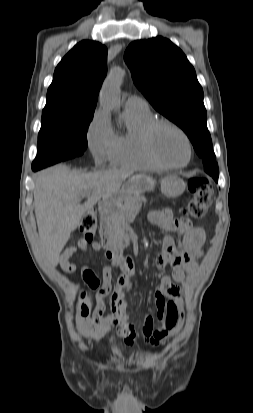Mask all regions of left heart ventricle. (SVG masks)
<instances>
[{"mask_svg":"<svg viewBox=\"0 0 253 413\" xmlns=\"http://www.w3.org/2000/svg\"><path fill=\"white\" fill-rule=\"evenodd\" d=\"M153 143L157 154L171 164H182L188 156L183 137L168 126H160L154 133Z\"/></svg>","mask_w":253,"mask_h":413,"instance_id":"left-heart-ventricle-1","label":"left heart ventricle"}]
</instances>
